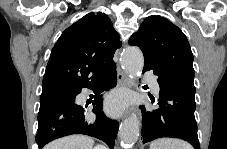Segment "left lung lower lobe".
Returning a JSON list of instances; mask_svg holds the SVG:
<instances>
[{
  "label": "left lung lower lobe",
  "mask_w": 227,
  "mask_h": 149,
  "mask_svg": "<svg viewBox=\"0 0 227 149\" xmlns=\"http://www.w3.org/2000/svg\"><path fill=\"white\" fill-rule=\"evenodd\" d=\"M149 70L158 76L160 99L159 107L155 110L140 107L143 143L156 138L172 137L185 140L195 149H200L194 116L195 93L172 81L156 65L145 62L144 72Z\"/></svg>",
  "instance_id": "0a47b994"
}]
</instances>
